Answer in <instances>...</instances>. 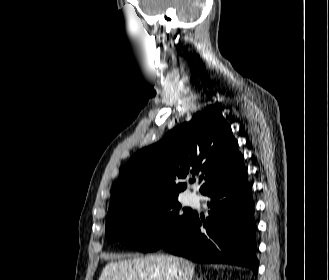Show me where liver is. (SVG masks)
Listing matches in <instances>:
<instances>
[{"instance_id":"6515ba94","label":"liver","mask_w":329,"mask_h":280,"mask_svg":"<svg viewBox=\"0 0 329 280\" xmlns=\"http://www.w3.org/2000/svg\"><path fill=\"white\" fill-rule=\"evenodd\" d=\"M109 262L99 280H190L195 265L189 260L169 255H149Z\"/></svg>"}]
</instances>
